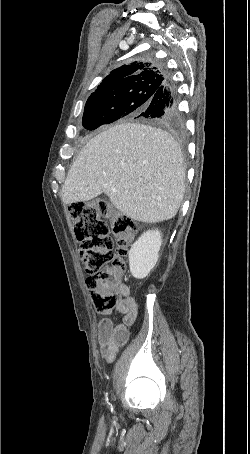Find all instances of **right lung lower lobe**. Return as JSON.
Masks as SVG:
<instances>
[{
    "label": "right lung lower lobe",
    "instance_id": "obj_1",
    "mask_svg": "<svg viewBox=\"0 0 250 454\" xmlns=\"http://www.w3.org/2000/svg\"><path fill=\"white\" fill-rule=\"evenodd\" d=\"M178 104L176 88L168 76L163 88L154 94L149 106L140 116L141 118L154 119L161 125L177 127L180 125Z\"/></svg>",
    "mask_w": 250,
    "mask_h": 454
}]
</instances>
